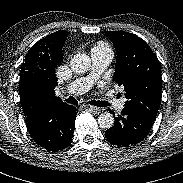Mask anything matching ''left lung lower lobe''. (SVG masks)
I'll use <instances>...</instances> for the list:
<instances>
[{
	"label": "left lung lower lobe",
	"instance_id": "left-lung-lower-lobe-1",
	"mask_svg": "<svg viewBox=\"0 0 183 183\" xmlns=\"http://www.w3.org/2000/svg\"><path fill=\"white\" fill-rule=\"evenodd\" d=\"M153 122L154 120L142 113L124 108L121 115L115 117L114 126L105 131V136L114 145L122 147L133 146L148 135Z\"/></svg>",
	"mask_w": 183,
	"mask_h": 183
}]
</instances>
